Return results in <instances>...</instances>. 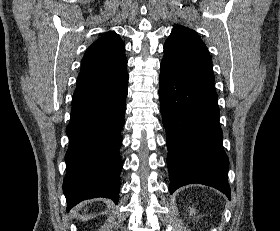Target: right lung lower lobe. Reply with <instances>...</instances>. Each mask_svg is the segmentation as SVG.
Instances as JSON below:
<instances>
[{
    "label": "right lung lower lobe",
    "mask_w": 280,
    "mask_h": 231,
    "mask_svg": "<svg viewBox=\"0 0 280 231\" xmlns=\"http://www.w3.org/2000/svg\"><path fill=\"white\" fill-rule=\"evenodd\" d=\"M127 85L82 103L72 104L66 128L69 147L63 192L67 211L80 201L105 197L118 202Z\"/></svg>",
    "instance_id": "98d812e1"
}]
</instances>
